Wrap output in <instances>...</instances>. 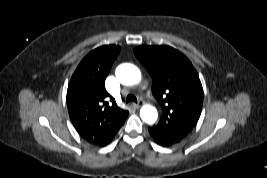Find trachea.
Returning <instances> with one entry per match:
<instances>
[{"mask_svg": "<svg viewBox=\"0 0 267 178\" xmlns=\"http://www.w3.org/2000/svg\"><path fill=\"white\" fill-rule=\"evenodd\" d=\"M129 102H136L137 103V98L134 95L130 94L126 98V103H129Z\"/></svg>", "mask_w": 267, "mask_h": 178, "instance_id": "obj_1", "label": "trachea"}]
</instances>
